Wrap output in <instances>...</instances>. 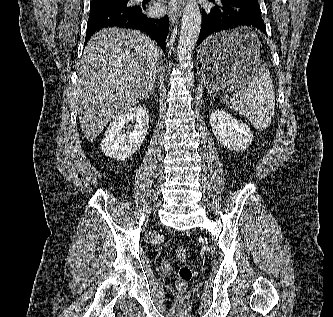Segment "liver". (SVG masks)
<instances>
[{
  "label": "liver",
  "instance_id": "obj_1",
  "mask_svg": "<svg viewBox=\"0 0 333 317\" xmlns=\"http://www.w3.org/2000/svg\"><path fill=\"white\" fill-rule=\"evenodd\" d=\"M161 59L157 44L138 31L106 28L90 38L74 95L88 141L92 142L111 119L148 96Z\"/></svg>",
  "mask_w": 333,
  "mask_h": 317
}]
</instances>
